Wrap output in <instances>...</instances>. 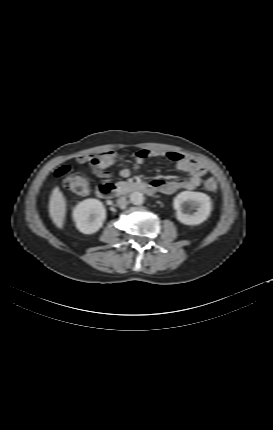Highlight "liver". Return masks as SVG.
Listing matches in <instances>:
<instances>
[{
	"mask_svg": "<svg viewBox=\"0 0 273 430\" xmlns=\"http://www.w3.org/2000/svg\"><path fill=\"white\" fill-rule=\"evenodd\" d=\"M66 206V200L62 192L58 187H55L50 196L49 213L54 224L60 229L64 226Z\"/></svg>",
	"mask_w": 273,
	"mask_h": 430,
	"instance_id": "obj_1",
	"label": "liver"
}]
</instances>
